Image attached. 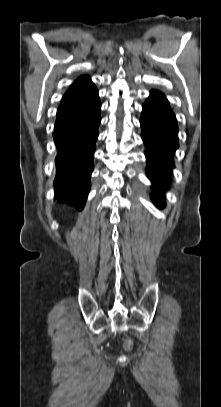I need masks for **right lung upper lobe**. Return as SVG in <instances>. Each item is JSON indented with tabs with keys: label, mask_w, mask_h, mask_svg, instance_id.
Returning <instances> with one entry per match:
<instances>
[{
	"label": "right lung upper lobe",
	"mask_w": 221,
	"mask_h": 407,
	"mask_svg": "<svg viewBox=\"0 0 221 407\" xmlns=\"http://www.w3.org/2000/svg\"><path fill=\"white\" fill-rule=\"evenodd\" d=\"M94 86L93 83L90 80L89 76H82L79 77L70 87V89L65 93L64 96L74 93L76 91L88 88V87H92Z\"/></svg>",
	"instance_id": "obj_1"
}]
</instances>
